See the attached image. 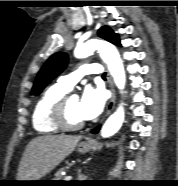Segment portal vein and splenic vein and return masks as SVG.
<instances>
[{"label":"portal vein and splenic vein","mask_w":178,"mask_h":186,"mask_svg":"<svg viewBox=\"0 0 178 186\" xmlns=\"http://www.w3.org/2000/svg\"><path fill=\"white\" fill-rule=\"evenodd\" d=\"M72 179V176L68 175L65 177V181H70Z\"/></svg>","instance_id":"portal-vein-and-splenic-vein-1"}]
</instances>
